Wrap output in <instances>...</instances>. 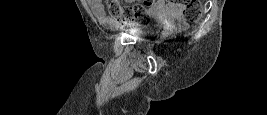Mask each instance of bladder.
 <instances>
[{
	"mask_svg": "<svg viewBox=\"0 0 267 115\" xmlns=\"http://www.w3.org/2000/svg\"><path fill=\"white\" fill-rule=\"evenodd\" d=\"M149 33L150 32L144 28H139V29L132 31V34L137 37H146L147 35H149Z\"/></svg>",
	"mask_w": 267,
	"mask_h": 115,
	"instance_id": "obj_1",
	"label": "bladder"
}]
</instances>
